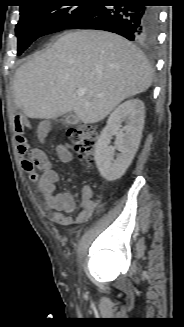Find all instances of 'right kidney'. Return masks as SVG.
<instances>
[{"instance_id": "1", "label": "right kidney", "mask_w": 184, "mask_h": 327, "mask_svg": "<svg viewBox=\"0 0 184 327\" xmlns=\"http://www.w3.org/2000/svg\"><path fill=\"white\" fill-rule=\"evenodd\" d=\"M144 118V103L140 99L125 101L109 116L95 146L97 168L106 180L120 178L130 166L142 138ZM122 122L126 123L124 129H121ZM114 135L115 148H111L109 144ZM114 149L120 152L115 159Z\"/></svg>"}]
</instances>
